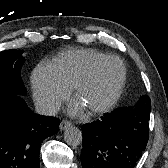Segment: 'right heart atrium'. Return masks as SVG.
Masks as SVG:
<instances>
[{
    "mask_svg": "<svg viewBox=\"0 0 168 168\" xmlns=\"http://www.w3.org/2000/svg\"><path fill=\"white\" fill-rule=\"evenodd\" d=\"M31 83L35 104L45 114L55 112L70 95V88L50 64H38L32 73Z\"/></svg>",
    "mask_w": 168,
    "mask_h": 168,
    "instance_id": "right-heart-atrium-1",
    "label": "right heart atrium"
}]
</instances>
